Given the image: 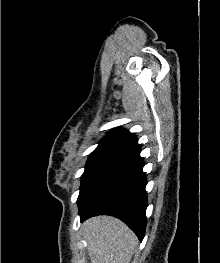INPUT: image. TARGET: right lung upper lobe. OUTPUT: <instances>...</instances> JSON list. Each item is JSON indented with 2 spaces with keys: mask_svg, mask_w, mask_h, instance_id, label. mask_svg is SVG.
<instances>
[{
  "mask_svg": "<svg viewBox=\"0 0 220 263\" xmlns=\"http://www.w3.org/2000/svg\"><path fill=\"white\" fill-rule=\"evenodd\" d=\"M138 144L137 138L128 130L117 128L108 133L93 152L118 154Z\"/></svg>",
  "mask_w": 220,
  "mask_h": 263,
  "instance_id": "cb5924a9",
  "label": "right lung upper lobe"
}]
</instances>
